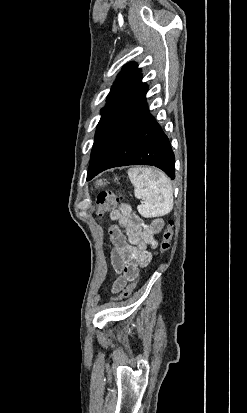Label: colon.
Listing matches in <instances>:
<instances>
[{
	"label": "colon",
	"instance_id": "5ec220e1",
	"mask_svg": "<svg viewBox=\"0 0 247 413\" xmlns=\"http://www.w3.org/2000/svg\"><path fill=\"white\" fill-rule=\"evenodd\" d=\"M120 203V196L118 194H114L112 192H101L97 196V205H98V213L100 216V219L104 214H106L109 211H114L118 204ZM172 224L170 223L168 228L164 230L162 233V239L159 244L158 250L160 252H165L169 250L170 245H171V238H172ZM112 241V239H111ZM139 279V276L134 277L133 283H129L128 287H126V292L125 293H120L119 294V299H125L128 298L132 291L134 290V287ZM114 302L117 301V298L113 299Z\"/></svg>",
	"mask_w": 247,
	"mask_h": 413
}]
</instances>
